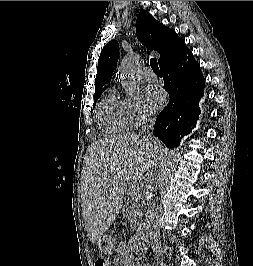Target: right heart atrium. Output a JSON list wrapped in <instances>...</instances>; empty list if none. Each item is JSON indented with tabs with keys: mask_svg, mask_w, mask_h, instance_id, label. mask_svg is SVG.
<instances>
[{
	"mask_svg": "<svg viewBox=\"0 0 253 266\" xmlns=\"http://www.w3.org/2000/svg\"><path fill=\"white\" fill-rule=\"evenodd\" d=\"M124 107L132 122V126L149 121L154 115L152 109L141 97L125 99Z\"/></svg>",
	"mask_w": 253,
	"mask_h": 266,
	"instance_id": "1",
	"label": "right heart atrium"
}]
</instances>
